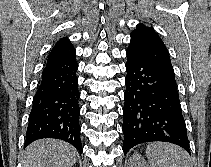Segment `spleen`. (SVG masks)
I'll use <instances>...</instances> for the list:
<instances>
[{
	"mask_svg": "<svg viewBox=\"0 0 211 167\" xmlns=\"http://www.w3.org/2000/svg\"><path fill=\"white\" fill-rule=\"evenodd\" d=\"M150 167H193L189 154L177 145L153 142L146 148Z\"/></svg>",
	"mask_w": 211,
	"mask_h": 167,
	"instance_id": "obj_1",
	"label": "spleen"
}]
</instances>
